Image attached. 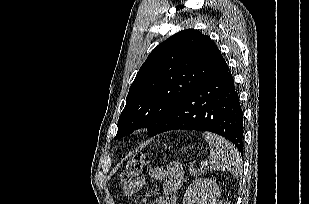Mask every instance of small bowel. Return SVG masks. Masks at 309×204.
<instances>
[{"label":"small bowel","mask_w":309,"mask_h":204,"mask_svg":"<svg viewBox=\"0 0 309 204\" xmlns=\"http://www.w3.org/2000/svg\"><path fill=\"white\" fill-rule=\"evenodd\" d=\"M149 177L154 180L163 181L164 194L158 204H176L178 191L184 178V170L177 162H172L167 168L153 167L149 170ZM146 182L145 177H139L124 186L123 192L126 196H132L139 192Z\"/></svg>","instance_id":"c3829d8e"}]
</instances>
